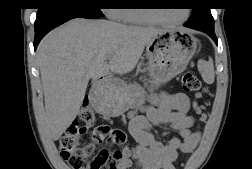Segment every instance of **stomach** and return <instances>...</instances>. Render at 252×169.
<instances>
[{
	"label": "stomach",
	"mask_w": 252,
	"mask_h": 169,
	"mask_svg": "<svg viewBox=\"0 0 252 169\" xmlns=\"http://www.w3.org/2000/svg\"><path fill=\"white\" fill-rule=\"evenodd\" d=\"M197 39L181 28L163 29L146 45L150 83L159 88L182 73L196 52ZM146 92L136 83L114 81L98 85L93 101L98 111L116 117L146 102Z\"/></svg>",
	"instance_id": "obj_1"
}]
</instances>
